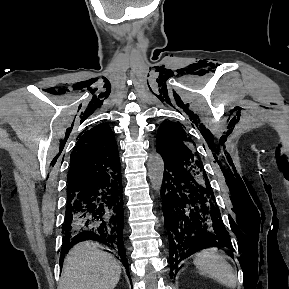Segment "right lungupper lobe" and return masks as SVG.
<instances>
[{
	"instance_id": "cb5924a9",
	"label": "right lung upper lobe",
	"mask_w": 289,
	"mask_h": 289,
	"mask_svg": "<svg viewBox=\"0 0 289 289\" xmlns=\"http://www.w3.org/2000/svg\"><path fill=\"white\" fill-rule=\"evenodd\" d=\"M120 169L114 133L107 124H99L79 138L71 153L68 194L83 190L104 176H115Z\"/></svg>"
}]
</instances>
